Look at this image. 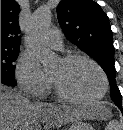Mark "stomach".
Wrapping results in <instances>:
<instances>
[{"label": "stomach", "instance_id": "obj_1", "mask_svg": "<svg viewBox=\"0 0 123 130\" xmlns=\"http://www.w3.org/2000/svg\"><path fill=\"white\" fill-rule=\"evenodd\" d=\"M68 130H93V128L88 123L79 120L73 122Z\"/></svg>", "mask_w": 123, "mask_h": 130}]
</instances>
